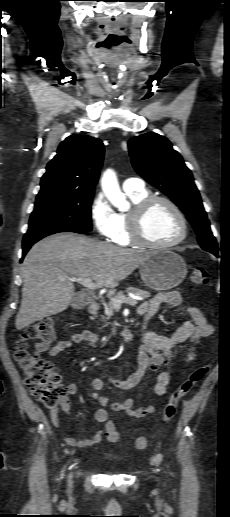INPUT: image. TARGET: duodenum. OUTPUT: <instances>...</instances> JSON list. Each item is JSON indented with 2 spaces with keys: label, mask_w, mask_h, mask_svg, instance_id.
Here are the masks:
<instances>
[{
  "label": "duodenum",
  "mask_w": 230,
  "mask_h": 517,
  "mask_svg": "<svg viewBox=\"0 0 230 517\" xmlns=\"http://www.w3.org/2000/svg\"><path fill=\"white\" fill-rule=\"evenodd\" d=\"M100 303L97 302V301H92L90 304H89V311L92 313V314H96L100 311ZM121 338L124 342H130L133 340L134 338V333L130 330V329H127V330H124L122 335H121Z\"/></svg>",
  "instance_id": "obj_1"
}]
</instances>
